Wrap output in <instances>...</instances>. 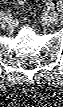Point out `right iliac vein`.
I'll use <instances>...</instances> for the list:
<instances>
[{
	"label": "right iliac vein",
	"instance_id": "63e3f726",
	"mask_svg": "<svg viewBox=\"0 0 63 107\" xmlns=\"http://www.w3.org/2000/svg\"><path fill=\"white\" fill-rule=\"evenodd\" d=\"M6 22H7L6 20L1 19V25H2V26H4V25L6 24ZM12 23H13V22H12Z\"/></svg>",
	"mask_w": 63,
	"mask_h": 107
}]
</instances>
